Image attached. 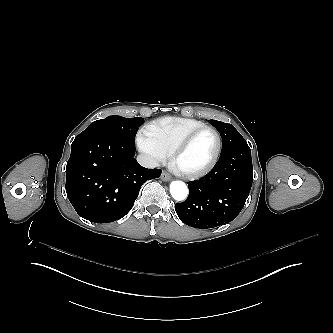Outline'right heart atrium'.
<instances>
[{
	"label": "right heart atrium",
	"instance_id": "d8ad5b80",
	"mask_svg": "<svg viewBox=\"0 0 333 333\" xmlns=\"http://www.w3.org/2000/svg\"><path fill=\"white\" fill-rule=\"evenodd\" d=\"M138 148L153 165L157 166L160 164H164L165 157L155 149L150 148L147 145L140 142L138 143Z\"/></svg>",
	"mask_w": 333,
	"mask_h": 333
}]
</instances>
